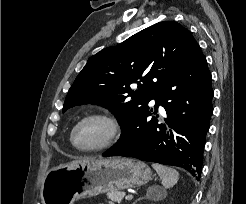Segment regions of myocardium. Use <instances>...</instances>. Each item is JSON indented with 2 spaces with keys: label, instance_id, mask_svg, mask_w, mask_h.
I'll return each instance as SVG.
<instances>
[{
  "label": "myocardium",
  "instance_id": "myocardium-1",
  "mask_svg": "<svg viewBox=\"0 0 246 204\" xmlns=\"http://www.w3.org/2000/svg\"><path fill=\"white\" fill-rule=\"evenodd\" d=\"M90 120H99L106 124L108 131L105 137L96 145L90 147H83L78 144L76 140V132L78 128L85 122ZM121 134V125L119 120L105 112H92L82 116L73 126L70 134L71 142L75 148L83 152H96L107 149L113 146L119 139Z\"/></svg>",
  "mask_w": 246,
  "mask_h": 204
}]
</instances>
